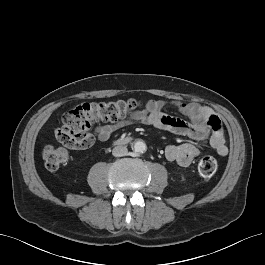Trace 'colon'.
<instances>
[{
    "label": "colon",
    "mask_w": 265,
    "mask_h": 265,
    "mask_svg": "<svg viewBox=\"0 0 265 265\" xmlns=\"http://www.w3.org/2000/svg\"><path fill=\"white\" fill-rule=\"evenodd\" d=\"M141 104L135 99L114 102H92L75 106L66 111L62 122L55 129V137L65 146L86 145L91 137V126L97 121L117 123L127 119L139 111ZM210 125L219 131L221 124L216 117L210 119ZM69 159L67 149L48 145L43 150L45 167L56 171L64 166ZM218 162L214 155L204 154L198 162L199 173L210 177L216 173Z\"/></svg>",
    "instance_id": "obj_1"
}]
</instances>
